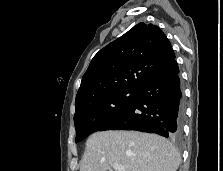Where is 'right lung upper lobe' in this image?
I'll use <instances>...</instances> for the list:
<instances>
[{"label": "right lung upper lobe", "mask_w": 223, "mask_h": 171, "mask_svg": "<svg viewBox=\"0 0 223 171\" xmlns=\"http://www.w3.org/2000/svg\"><path fill=\"white\" fill-rule=\"evenodd\" d=\"M174 61L163 31L141 22L94 56L82 78L75 107L114 92H138Z\"/></svg>", "instance_id": "right-lung-upper-lobe-1"}]
</instances>
